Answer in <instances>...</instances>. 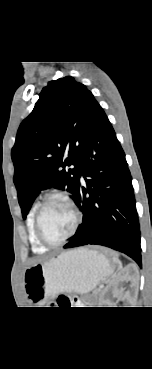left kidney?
I'll return each instance as SVG.
<instances>
[{"instance_id":"1","label":"left kidney","mask_w":152,"mask_h":369,"mask_svg":"<svg viewBox=\"0 0 152 369\" xmlns=\"http://www.w3.org/2000/svg\"><path fill=\"white\" fill-rule=\"evenodd\" d=\"M124 282H130V286L133 290L138 288L139 273L135 266L129 265L121 270L110 285L101 292L99 296V307H112L114 303L111 301V298H117L118 300L128 298L127 295L124 294V289L121 287Z\"/></svg>"}]
</instances>
